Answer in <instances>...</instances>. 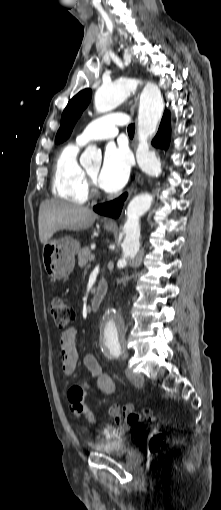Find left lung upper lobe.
<instances>
[{"label": "left lung upper lobe", "mask_w": 221, "mask_h": 510, "mask_svg": "<svg viewBox=\"0 0 221 510\" xmlns=\"http://www.w3.org/2000/svg\"><path fill=\"white\" fill-rule=\"evenodd\" d=\"M92 91L84 89L75 95L66 106L61 116V125L56 135V143H61L69 138L75 123L88 106Z\"/></svg>", "instance_id": "5c2ea615"}]
</instances>
